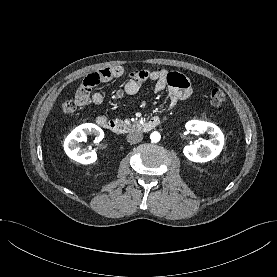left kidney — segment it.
Here are the masks:
<instances>
[{"label": "left kidney", "instance_id": "5707ae66", "mask_svg": "<svg viewBox=\"0 0 277 277\" xmlns=\"http://www.w3.org/2000/svg\"><path fill=\"white\" fill-rule=\"evenodd\" d=\"M187 130L198 133H207L209 140H203L197 144L185 146L184 155L193 162L204 163L217 157L224 145V135L220 128L213 123L192 120L186 124ZM201 147L198 151L197 148Z\"/></svg>", "mask_w": 277, "mask_h": 277}]
</instances>
